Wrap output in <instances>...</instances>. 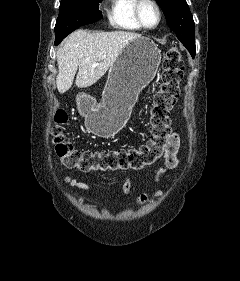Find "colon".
Listing matches in <instances>:
<instances>
[{
    "instance_id": "5ec220e1",
    "label": "colon",
    "mask_w": 240,
    "mask_h": 281,
    "mask_svg": "<svg viewBox=\"0 0 240 281\" xmlns=\"http://www.w3.org/2000/svg\"><path fill=\"white\" fill-rule=\"evenodd\" d=\"M183 60L180 49L170 46L164 56L162 81L152 97L150 109V138L130 149L91 151L77 148L67 137L64 125L67 112L58 109L52 138L57 155L69 168L89 171H140L154 166L167 153L170 137V112L179 95L183 77Z\"/></svg>"
}]
</instances>
